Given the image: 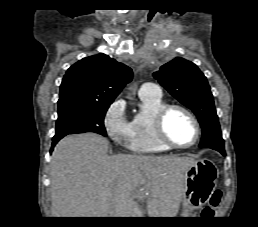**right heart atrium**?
<instances>
[{
    "instance_id": "1",
    "label": "right heart atrium",
    "mask_w": 258,
    "mask_h": 227,
    "mask_svg": "<svg viewBox=\"0 0 258 227\" xmlns=\"http://www.w3.org/2000/svg\"><path fill=\"white\" fill-rule=\"evenodd\" d=\"M103 124L107 135L114 142L119 143L128 138L130 122L126 118L124 101L116 100L109 106Z\"/></svg>"
}]
</instances>
